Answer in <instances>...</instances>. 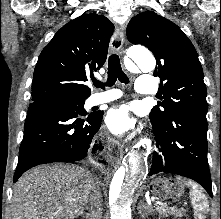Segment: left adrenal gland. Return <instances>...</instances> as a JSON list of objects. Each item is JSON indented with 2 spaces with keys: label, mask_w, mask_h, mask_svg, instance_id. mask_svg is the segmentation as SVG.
Instances as JSON below:
<instances>
[{
  "label": "left adrenal gland",
  "mask_w": 221,
  "mask_h": 219,
  "mask_svg": "<svg viewBox=\"0 0 221 219\" xmlns=\"http://www.w3.org/2000/svg\"><path fill=\"white\" fill-rule=\"evenodd\" d=\"M137 209L142 218H145V216L152 212V208H150L149 206L139 205Z\"/></svg>",
  "instance_id": "a2214340"
}]
</instances>
